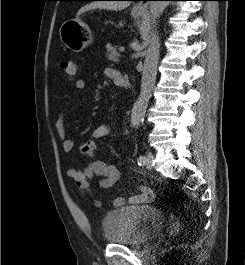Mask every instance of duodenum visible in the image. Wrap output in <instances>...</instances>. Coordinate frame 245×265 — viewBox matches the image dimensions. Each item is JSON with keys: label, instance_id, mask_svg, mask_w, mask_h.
<instances>
[{"label": "duodenum", "instance_id": "duodenum-1", "mask_svg": "<svg viewBox=\"0 0 245 265\" xmlns=\"http://www.w3.org/2000/svg\"><path fill=\"white\" fill-rule=\"evenodd\" d=\"M114 83L117 85V86H121V87H128L129 84L126 80V78L121 75L119 77H117L115 80H114Z\"/></svg>", "mask_w": 245, "mask_h": 265}]
</instances>
